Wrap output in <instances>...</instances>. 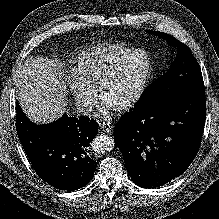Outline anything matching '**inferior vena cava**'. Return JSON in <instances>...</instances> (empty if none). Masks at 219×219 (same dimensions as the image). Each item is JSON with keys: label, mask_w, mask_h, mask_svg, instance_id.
<instances>
[{"label": "inferior vena cava", "mask_w": 219, "mask_h": 219, "mask_svg": "<svg viewBox=\"0 0 219 219\" xmlns=\"http://www.w3.org/2000/svg\"><path fill=\"white\" fill-rule=\"evenodd\" d=\"M76 109H77V112L80 114L89 115L93 110V106L91 103L87 101H77Z\"/></svg>", "instance_id": "obj_1"}]
</instances>
